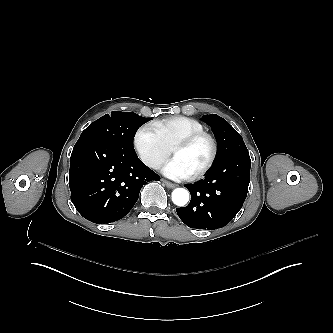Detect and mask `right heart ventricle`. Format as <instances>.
Listing matches in <instances>:
<instances>
[{
  "instance_id": "right-heart-ventricle-1",
  "label": "right heart ventricle",
  "mask_w": 333,
  "mask_h": 333,
  "mask_svg": "<svg viewBox=\"0 0 333 333\" xmlns=\"http://www.w3.org/2000/svg\"><path fill=\"white\" fill-rule=\"evenodd\" d=\"M153 126L170 149L183 138L205 131L201 123L181 115L167 117Z\"/></svg>"
}]
</instances>
